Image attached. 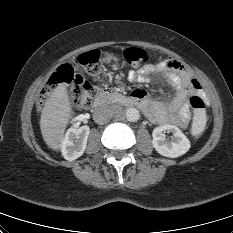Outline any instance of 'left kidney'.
Here are the masks:
<instances>
[{"mask_svg": "<svg viewBox=\"0 0 233 233\" xmlns=\"http://www.w3.org/2000/svg\"><path fill=\"white\" fill-rule=\"evenodd\" d=\"M170 131L173 134L171 140H167L163 132ZM152 144L155 150L162 156L177 158L184 155L190 149V141L182 131L174 125L156 127L152 133Z\"/></svg>", "mask_w": 233, "mask_h": 233, "instance_id": "obj_1", "label": "left kidney"}]
</instances>
